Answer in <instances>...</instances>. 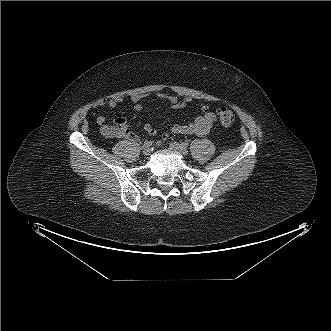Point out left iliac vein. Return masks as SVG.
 <instances>
[{
	"instance_id": "1",
	"label": "left iliac vein",
	"mask_w": 331,
	"mask_h": 331,
	"mask_svg": "<svg viewBox=\"0 0 331 331\" xmlns=\"http://www.w3.org/2000/svg\"><path fill=\"white\" fill-rule=\"evenodd\" d=\"M169 148L181 156H186L188 154L187 149L181 147L177 142L170 143Z\"/></svg>"
}]
</instances>
